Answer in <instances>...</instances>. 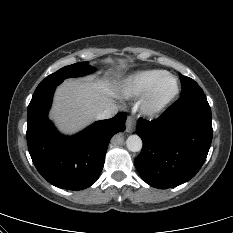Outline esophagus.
Returning a JSON list of instances; mask_svg holds the SVG:
<instances>
[{"label": "esophagus", "mask_w": 233, "mask_h": 233, "mask_svg": "<svg viewBox=\"0 0 233 233\" xmlns=\"http://www.w3.org/2000/svg\"><path fill=\"white\" fill-rule=\"evenodd\" d=\"M136 119L133 116H128L126 120V131L131 133L135 130L136 127Z\"/></svg>", "instance_id": "esophagus-1"}]
</instances>
